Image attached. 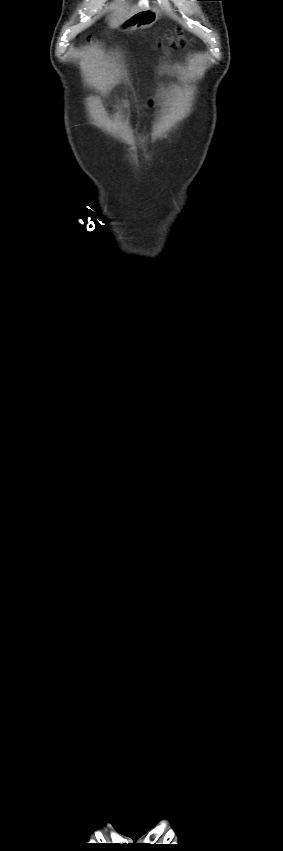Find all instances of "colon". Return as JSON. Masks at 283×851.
Masks as SVG:
<instances>
[{"label": "colon", "mask_w": 283, "mask_h": 851, "mask_svg": "<svg viewBox=\"0 0 283 851\" xmlns=\"http://www.w3.org/2000/svg\"><path fill=\"white\" fill-rule=\"evenodd\" d=\"M90 40V39H88ZM166 40H168L171 46H185L187 44V40L183 37L182 32L178 30L176 35H172L171 33L167 34ZM158 47L165 49L166 46L163 42V39H160L158 42Z\"/></svg>", "instance_id": "colon-1"}]
</instances>
